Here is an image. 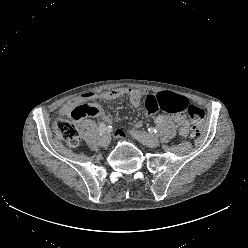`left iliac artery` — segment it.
Returning <instances> with one entry per match:
<instances>
[{"instance_id": "left-iliac-artery-1", "label": "left iliac artery", "mask_w": 248, "mask_h": 248, "mask_svg": "<svg viewBox=\"0 0 248 248\" xmlns=\"http://www.w3.org/2000/svg\"><path fill=\"white\" fill-rule=\"evenodd\" d=\"M152 132H157L155 129H152Z\"/></svg>"}]
</instances>
